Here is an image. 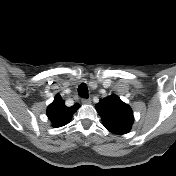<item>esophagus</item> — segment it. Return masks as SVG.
<instances>
[{"label": "esophagus", "instance_id": "obj_1", "mask_svg": "<svg viewBox=\"0 0 176 176\" xmlns=\"http://www.w3.org/2000/svg\"><path fill=\"white\" fill-rule=\"evenodd\" d=\"M82 103L83 104H90L91 103V99L90 98H83L82 99Z\"/></svg>", "mask_w": 176, "mask_h": 176}]
</instances>
